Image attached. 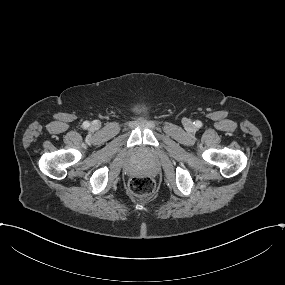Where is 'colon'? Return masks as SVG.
<instances>
[{"label": "colon", "instance_id": "obj_1", "mask_svg": "<svg viewBox=\"0 0 285 285\" xmlns=\"http://www.w3.org/2000/svg\"><path fill=\"white\" fill-rule=\"evenodd\" d=\"M129 189L136 196H148L155 190V181L148 176H134L129 181Z\"/></svg>", "mask_w": 285, "mask_h": 285}]
</instances>
